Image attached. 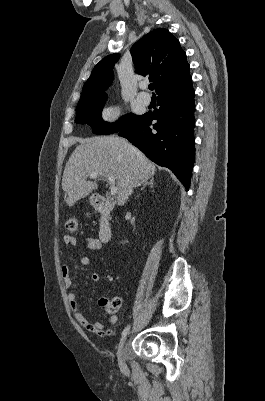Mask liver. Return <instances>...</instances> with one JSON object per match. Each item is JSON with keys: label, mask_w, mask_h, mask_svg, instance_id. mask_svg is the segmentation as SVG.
<instances>
[{"label": "liver", "mask_w": 265, "mask_h": 401, "mask_svg": "<svg viewBox=\"0 0 265 401\" xmlns=\"http://www.w3.org/2000/svg\"><path fill=\"white\" fill-rule=\"evenodd\" d=\"M78 142L80 144L66 162L62 178L68 207H73L80 198L88 196L93 188H98L96 180H86L91 172H98V176H95L97 180L106 178V174L116 178L117 205H125L129 188L132 190L134 186H140L155 174V164L121 136H91L78 138Z\"/></svg>", "instance_id": "6515ba94"}]
</instances>
